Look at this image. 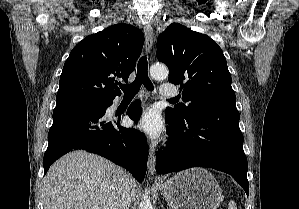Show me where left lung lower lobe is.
Instances as JSON below:
<instances>
[{"label": "left lung lower lobe", "instance_id": "obj_1", "mask_svg": "<svg viewBox=\"0 0 299 209\" xmlns=\"http://www.w3.org/2000/svg\"><path fill=\"white\" fill-rule=\"evenodd\" d=\"M239 119L235 104L205 103L185 120L166 116L170 142L165 150L157 153V172L166 174L191 167L214 168L230 174L248 196V165Z\"/></svg>", "mask_w": 299, "mask_h": 209}]
</instances>
